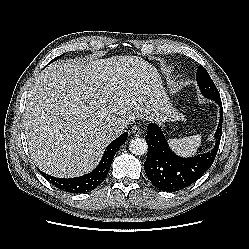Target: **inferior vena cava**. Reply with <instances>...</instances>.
Segmentation results:
<instances>
[{
  "label": "inferior vena cava",
  "mask_w": 249,
  "mask_h": 249,
  "mask_svg": "<svg viewBox=\"0 0 249 249\" xmlns=\"http://www.w3.org/2000/svg\"><path fill=\"white\" fill-rule=\"evenodd\" d=\"M127 125L125 124H121V125H115L113 128H112V134L113 136H118L120 135L121 133L124 132V130L126 129Z\"/></svg>",
  "instance_id": "1"
}]
</instances>
